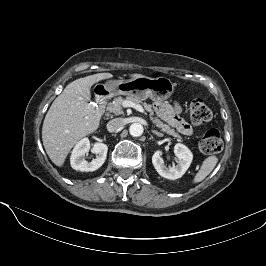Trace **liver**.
<instances>
[{"mask_svg": "<svg viewBox=\"0 0 266 266\" xmlns=\"http://www.w3.org/2000/svg\"><path fill=\"white\" fill-rule=\"evenodd\" d=\"M141 76L130 75L132 79ZM112 77L110 73H98L76 79L52 103L43 122L42 141L56 166L62 167L73 146L98 129L101 113L90 104L91 87Z\"/></svg>", "mask_w": 266, "mask_h": 266, "instance_id": "1", "label": "liver"}]
</instances>
